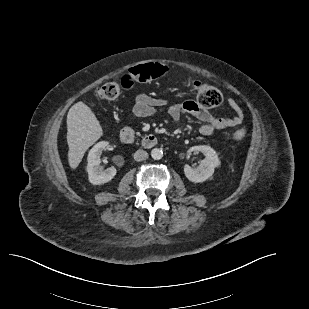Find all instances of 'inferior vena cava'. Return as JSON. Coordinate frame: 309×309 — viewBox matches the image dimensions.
I'll use <instances>...</instances> for the list:
<instances>
[{
    "label": "inferior vena cava",
    "instance_id": "602c4592",
    "mask_svg": "<svg viewBox=\"0 0 309 309\" xmlns=\"http://www.w3.org/2000/svg\"><path fill=\"white\" fill-rule=\"evenodd\" d=\"M148 158V153L142 149L140 150H137L135 153H134V160L135 161H143V160H146Z\"/></svg>",
    "mask_w": 309,
    "mask_h": 309
}]
</instances>
